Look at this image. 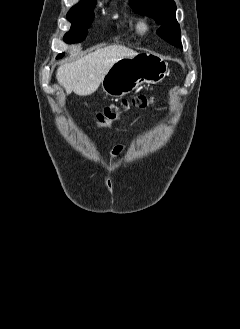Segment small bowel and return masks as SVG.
<instances>
[{"mask_svg": "<svg viewBox=\"0 0 240 329\" xmlns=\"http://www.w3.org/2000/svg\"><path fill=\"white\" fill-rule=\"evenodd\" d=\"M126 146L123 144H118L113 147V149L110 152V159H115L118 157L120 154H122L126 150Z\"/></svg>", "mask_w": 240, "mask_h": 329, "instance_id": "c3829d8e", "label": "small bowel"}]
</instances>
